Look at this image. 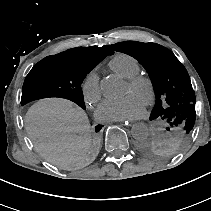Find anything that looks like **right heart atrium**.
<instances>
[{
  "instance_id": "right-heart-atrium-1",
  "label": "right heart atrium",
  "mask_w": 211,
  "mask_h": 211,
  "mask_svg": "<svg viewBox=\"0 0 211 211\" xmlns=\"http://www.w3.org/2000/svg\"><path fill=\"white\" fill-rule=\"evenodd\" d=\"M81 92L88 105H95L103 95L99 75L96 71H90L82 81Z\"/></svg>"
}]
</instances>
